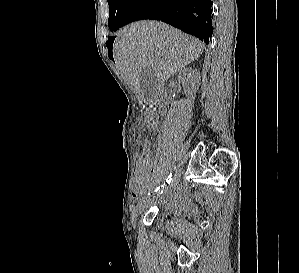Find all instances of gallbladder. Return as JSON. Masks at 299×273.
Segmentation results:
<instances>
[{
  "label": "gallbladder",
  "mask_w": 299,
  "mask_h": 273,
  "mask_svg": "<svg viewBox=\"0 0 299 273\" xmlns=\"http://www.w3.org/2000/svg\"><path fill=\"white\" fill-rule=\"evenodd\" d=\"M141 87L144 92L145 97L153 98L156 95L154 94V83L155 75L153 70L150 67H144L141 72Z\"/></svg>",
  "instance_id": "gallbladder-1"
}]
</instances>
